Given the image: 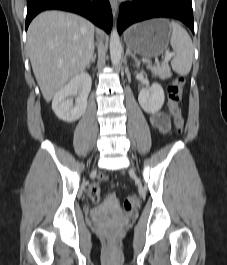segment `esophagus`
Returning <instances> with one entry per match:
<instances>
[{
    "instance_id": "1",
    "label": "esophagus",
    "mask_w": 227,
    "mask_h": 265,
    "mask_svg": "<svg viewBox=\"0 0 227 265\" xmlns=\"http://www.w3.org/2000/svg\"><path fill=\"white\" fill-rule=\"evenodd\" d=\"M111 8H112V12L114 15L117 14L118 12V8H119V4L117 0H109Z\"/></svg>"
}]
</instances>
